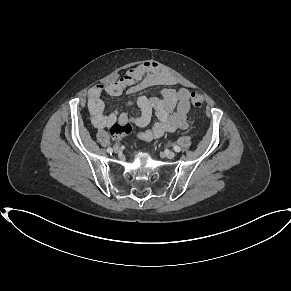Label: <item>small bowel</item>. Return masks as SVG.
<instances>
[{
	"instance_id": "c3829d8e",
	"label": "small bowel",
	"mask_w": 291,
	"mask_h": 291,
	"mask_svg": "<svg viewBox=\"0 0 291 291\" xmlns=\"http://www.w3.org/2000/svg\"><path fill=\"white\" fill-rule=\"evenodd\" d=\"M176 83L175 77L157 63L146 62L129 69L115 82L97 84L88 92V109L92 123L99 129L111 127L116 121L134 123L143 128L150 123L154 115L156 122L153 126L137 133V138L143 141H151L167 132L185 128L186 115L190 109V90L170 88ZM157 85L169 88H165L158 97L138 96L130 101V104L140 108L141 114L138 117H132L120 110L106 113L103 95L118 97L124 92L135 94Z\"/></svg>"
}]
</instances>
